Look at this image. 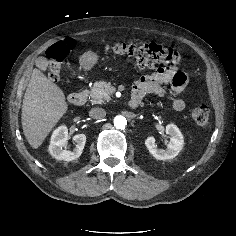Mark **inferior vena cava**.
Returning <instances> with one entry per match:
<instances>
[{"mask_svg":"<svg viewBox=\"0 0 236 236\" xmlns=\"http://www.w3.org/2000/svg\"><path fill=\"white\" fill-rule=\"evenodd\" d=\"M89 116L93 119L100 120L103 119L106 116V111L103 108H92L89 111Z\"/></svg>","mask_w":236,"mask_h":236,"instance_id":"602c4592","label":"inferior vena cava"}]
</instances>
